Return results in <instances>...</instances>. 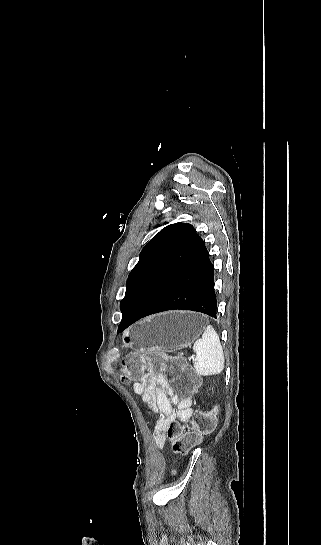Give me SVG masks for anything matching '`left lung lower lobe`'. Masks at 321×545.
<instances>
[{"label":"left lung lower lobe","mask_w":321,"mask_h":545,"mask_svg":"<svg viewBox=\"0 0 321 545\" xmlns=\"http://www.w3.org/2000/svg\"><path fill=\"white\" fill-rule=\"evenodd\" d=\"M173 309L202 312L216 318L214 268L204 241L190 224L130 311L122 317L119 331L140 318Z\"/></svg>","instance_id":"obj_1"}]
</instances>
